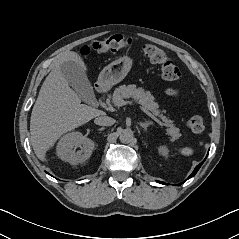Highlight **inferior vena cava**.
Masks as SVG:
<instances>
[{
	"mask_svg": "<svg viewBox=\"0 0 239 239\" xmlns=\"http://www.w3.org/2000/svg\"><path fill=\"white\" fill-rule=\"evenodd\" d=\"M95 123L101 126H111L115 123V120L109 116L101 115L95 118Z\"/></svg>",
	"mask_w": 239,
	"mask_h": 239,
	"instance_id": "602c4592",
	"label": "inferior vena cava"
}]
</instances>
